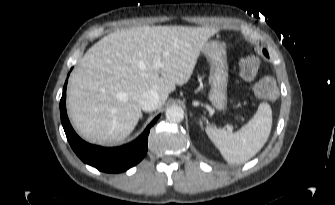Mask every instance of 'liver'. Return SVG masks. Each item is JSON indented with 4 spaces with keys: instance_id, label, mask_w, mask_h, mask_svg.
<instances>
[{
    "instance_id": "6515ba94",
    "label": "liver",
    "mask_w": 335,
    "mask_h": 205,
    "mask_svg": "<svg viewBox=\"0 0 335 205\" xmlns=\"http://www.w3.org/2000/svg\"><path fill=\"white\" fill-rule=\"evenodd\" d=\"M217 29L139 26L95 43L70 77L67 108L82 138L100 145L123 141L142 116L139 99L154 90L159 107L176 85L191 78L197 59ZM160 58L161 66L155 62ZM161 74V76L159 75Z\"/></svg>"
}]
</instances>
